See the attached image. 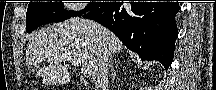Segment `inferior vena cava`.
<instances>
[{
  "mask_svg": "<svg viewBox=\"0 0 216 90\" xmlns=\"http://www.w3.org/2000/svg\"><path fill=\"white\" fill-rule=\"evenodd\" d=\"M109 60L110 56H102L97 64L95 72H93V82L95 90H109Z\"/></svg>",
  "mask_w": 216,
  "mask_h": 90,
  "instance_id": "inferior-vena-cava-1",
  "label": "inferior vena cava"
}]
</instances>
